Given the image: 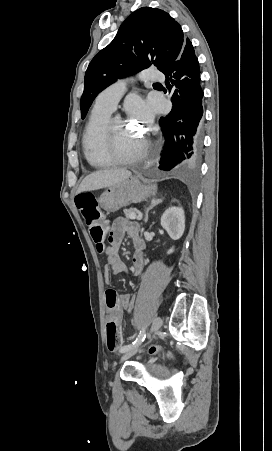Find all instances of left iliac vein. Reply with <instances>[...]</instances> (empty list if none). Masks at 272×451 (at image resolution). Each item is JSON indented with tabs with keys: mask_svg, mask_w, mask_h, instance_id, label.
Instances as JSON below:
<instances>
[{
	"mask_svg": "<svg viewBox=\"0 0 272 451\" xmlns=\"http://www.w3.org/2000/svg\"><path fill=\"white\" fill-rule=\"evenodd\" d=\"M162 323H163V320L161 319V317L156 316V317L154 318L153 322H152V326H151V330H150L149 335H150V334H153V333H156L158 330H160L161 327H162ZM136 352H137V349H133L132 351H130L129 353H127L126 355H124V356L122 357V360L129 359L131 356H133L134 354H136Z\"/></svg>",
	"mask_w": 272,
	"mask_h": 451,
	"instance_id": "left-iliac-vein-1",
	"label": "left iliac vein"
}]
</instances>
